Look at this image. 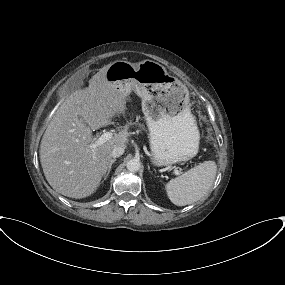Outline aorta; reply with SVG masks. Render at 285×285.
<instances>
[{
    "label": "aorta",
    "instance_id": "obj_1",
    "mask_svg": "<svg viewBox=\"0 0 285 285\" xmlns=\"http://www.w3.org/2000/svg\"><path fill=\"white\" fill-rule=\"evenodd\" d=\"M126 166H127L128 171L137 172V171H139V169L141 167V163L137 159H131L127 162Z\"/></svg>",
    "mask_w": 285,
    "mask_h": 285
}]
</instances>
